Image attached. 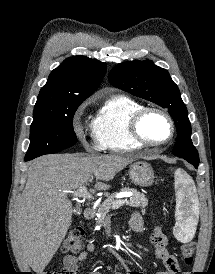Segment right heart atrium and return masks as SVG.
<instances>
[{
	"instance_id": "obj_1",
	"label": "right heart atrium",
	"mask_w": 215,
	"mask_h": 274,
	"mask_svg": "<svg viewBox=\"0 0 215 274\" xmlns=\"http://www.w3.org/2000/svg\"><path fill=\"white\" fill-rule=\"evenodd\" d=\"M75 130H76V133H77L78 137L80 139H83L84 138L83 131L80 128L79 125H76ZM85 146H86V148L89 151H99V150H102L101 147L99 146V144L96 141H94L92 143H85Z\"/></svg>"
}]
</instances>
